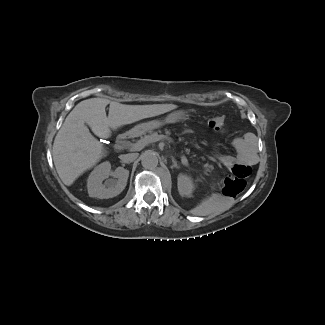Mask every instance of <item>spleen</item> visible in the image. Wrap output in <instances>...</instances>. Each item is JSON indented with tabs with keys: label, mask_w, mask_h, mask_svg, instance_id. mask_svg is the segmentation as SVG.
<instances>
[{
	"label": "spleen",
	"mask_w": 325,
	"mask_h": 325,
	"mask_svg": "<svg viewBox=\"0 0 325 325\" xmlns=\"http://www.w3.org/2000/svg\"><path fill=\"white\" fill-rule=\"evenodd\" d=\"M229 207V201L219 193H213L211 196L202 200V202L193 208L190 212L196 216H206L212 213H222Z\"/></svg>",
	"instance_id": "1"
}]
</instances>
